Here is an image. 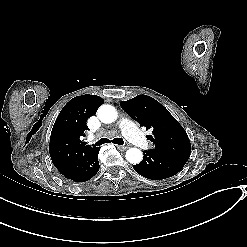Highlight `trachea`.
I'll list each match as a JSON object with an SVG mask.
<instances>
[{
    "mask_svg": "<svg viewBox=\"0 0 247 247\" xmlns=\"http://www.w3.org/2000/svg\"><path fill=\"white\" fill-rule=\"evenodd\" d=\"M105 143H113V144H116V145H123L124 144V141L122 138H114L112 140H109L107 138H102L100 139L96 144L95 146H100V145H103Z\"/></svg>",
    "mask_w": 247,
    "mask_h": 247,
    "instance_id": "obj_1",
    "label": "trachea"
}]
</instances>
